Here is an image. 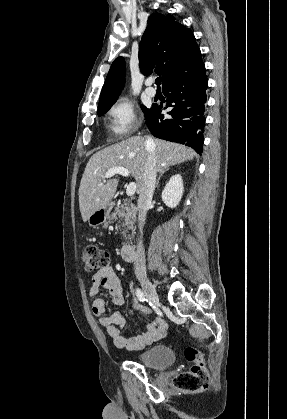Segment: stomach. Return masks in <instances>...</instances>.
I'll list each match as a JSON object with an SVG mask.
<instances>
[{
    "label": "stomach",
    "mask_w": 287,
    "mask_h": 419,
    "mask_svg": "<svg viewBox=\"0 0 287 419\" xmlns=\"http://www.w3.org/2000/svg\"><path fill=\"white\" fill-rule=\"evenodd\" d=\"M112 205L101 208L95 211L88 219V223L92 227H97L101 224L107 223L111 219Z\"/></svg>",
    "instance_id": "0dacf381"
}]
</instances>
